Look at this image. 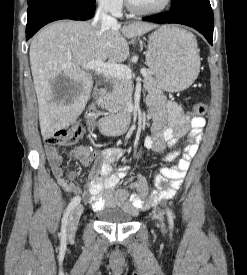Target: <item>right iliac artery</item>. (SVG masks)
Instances as JSON below:
<instances>
[{"instance_id": "82829eb1", "label": "right iliac artery", "mask_w": 247, "mask_h": 275, "mask_svg": "<svg viewBox=\"0 0 247 275\" xmlns=\"http://www.w3.org/2000/svg\"><path fill=\"white\" fill-rule=\"evenodd\" d=\"M81 201V198L80 196H75L73 197V199L71 200V202L69 203L67 209H66V212L63 216V219H62V229H61V234L62 236H65L66 235V228H67V225H68V216L71 212V210L76 207Z\"/></svg>"}]
</instances>
